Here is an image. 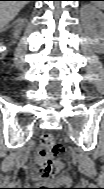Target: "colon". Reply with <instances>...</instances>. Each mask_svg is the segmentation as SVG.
<instances>
[{
    "mask_svg": "<svg viewBox=\"0 0 104 189\" xmlns=\"http://www.w3.org/2000/svg\"><path fill=\"white\" fill-rule=\"evenodd\" d=\"M59 146L50 134L41 137L37 150L38 167L44 178L56 175L62 168V162L57 158Z\"/></svg>",
    "mask_w": 104,
    "mask_h": 189,
    "instance_id": "5ec220e1",
    "label": "colon"
}]
</instances>
